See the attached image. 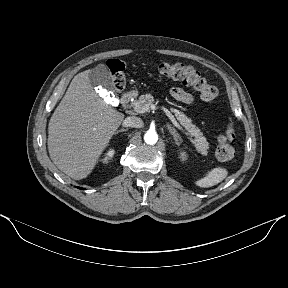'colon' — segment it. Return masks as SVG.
Instances as JSON below:
<instances>
[{"label":"colon","mask_w":288,"mask_h":288,"mask_svg":"<svg viewBox=\"0 0 288 288\" xmlns=\"http://www.w3.org/2000/svg\"><path fill=\"white\" fill-rule=\"evenodd\" d=\"M108 69L112 76L113 86L117 91L124 89L126 85L125 66L123 62L117 59H111L107 62ZM159 72L162 76L179 80L185 85L193 87L198 91L205 101H214L219 97V90L210 84L202 74L195 68L179 63H161ZM235 129L232 123H229L225 134L219 136L216 155L220 160H229L235 155L234 147Z\"/></svg>","instance_id":"1"}]
</instances>
